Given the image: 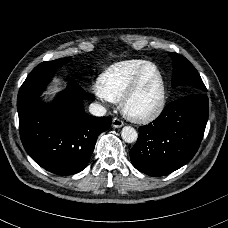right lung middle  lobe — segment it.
Here are the masks:
<instances>
[{"instance_id": "right-lung-middle-lobe-1", "label": "right lung middle lobe", "mask_w": 228, "mask_h": 228, "mask_svg": "<svg viewBox=\"0 0 228 228\" xmlns=\"http://www.w3.org/2000/svg\"><path fill=\"white\" fill-rule=\"evenodd\" d=\"M70 61L71 58H60L53 61L42 62L39 65H37L29 75L45 71H54Z\"/></svg>"}]
</instances>
